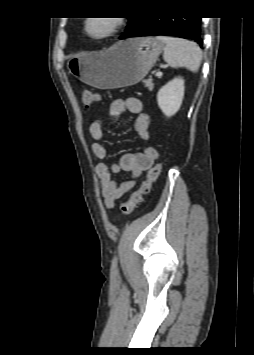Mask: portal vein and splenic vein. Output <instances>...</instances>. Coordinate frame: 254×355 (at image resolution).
<instances>
[{"label":"portal vein and splenic vein","mask_w":254,"mask_h":355,"mask_svg":"<svg viewBox=\"0 0 254 355\" xmlns=\"http://www.w3.org/2000/svg\"><path fill=\"white\" fill-rule=\"evenodd\" d=\"M157 77H161L162 75H163V73L161 72V71H158V72H156V74H155Z\"/></svg>","instance_id":"1"}]
</instances>
